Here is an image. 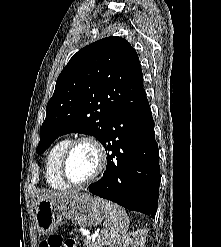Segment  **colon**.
Returning a JSON list of instances; mask_svg holds the SVG:
<instances>
[{
  "label": "colon",
  "instance_id": "colon-1",
  "mask_svg": "<svg viewBox=\"0 0 221 247\" xmlns=\"http://www.w3.org/2000/svg\"><path fill=\"white\" fill-rule=\"evenodd\" d=\"M76 241L73 238L64 239L61 236L50 237L40 243V247H75Z\"/></svg>",
  "mask_w": 221,
  "mask_h": 247
}]
</instances>
